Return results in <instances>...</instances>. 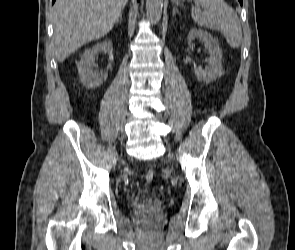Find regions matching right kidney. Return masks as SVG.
I'll use <instances>...</instances> for the list:
<instances>
[{"mask_svg": "<svg viewBox=\"0 0 295 250\" xmlns=\"http://www.w3.org/2000/svg\"><path fill=\"white\" fill-rule=\"evenodd\" d=\"M99 52L107 53L110 61H113L112 45L109 41H104L85 50L77 64L80 80L87 88H96L107 79V73L93 71L95 57Z\"/></svg>", "mask_w": 295, "mask_h": 250, "instance_id": "1", "label": "right kidney"}]
</instances>
